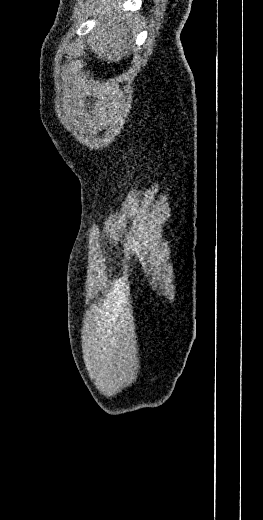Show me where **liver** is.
<instances>
[{
    "mask_svg": "<svg viewBox=\"0 0 263 520\" xmlns=\"http://www.w3.org/2000/svg\"><path fill=\"white\" fill-rule=\"evenodd\" d=\"M120 1L111 0V6L102 12L109 13V16L102 18V21L96 28V47L91 45L92 50L100 55L107 52V59L109 62H119L127 52H124L125 45H128V49L131 44L127 33L133 32V26L136 24V20L133 16L128 13H121L118 11V15L113 13L112 10L117 11V7ZM102 7L98 10L101 12Z\"/></svg>",
    "mask_w": 263,
    "mask_h": 520,
    "instance_id": "6515ba94",
    "label": "liver"
}]
</instances>
